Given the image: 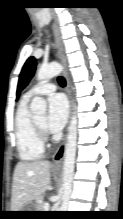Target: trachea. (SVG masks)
Returning <instances> with one entry per match:
<instances>
[{
  "label": "trachea",
  "mask_w": 123,
  "mask_h": 219,
  "mask_svg": "<svg viewBox=\"0 0 123 219\" xmlns=\"http://www.w3.org/2000/svg\"><path fill=\"white\" fill-rule=\"evenodd\" d=\"M58 83H59L62 87H64V86L66 85V81H65V79H64L62 76H59V77H58Z\"/></svg>",
  "instance_id": "1"
}]
</instances>
